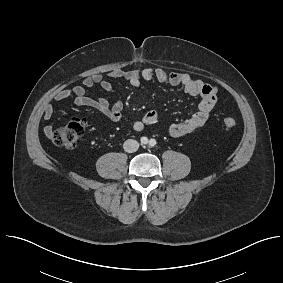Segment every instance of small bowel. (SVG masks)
I'll return each instance as SVG.
<instances>
[{"mask_svg": "<svg viewBox=\"0 0 283 283\" xmlns=\"http://www.w3.org/2000/svg\"><path fill=\"white\" fill-rule=\"evenodd\" d=\"M108 75L113 79L126 80L135 87L140 86L143 81L157 80L171 86H181L188 94L199 97L200 102L190 118L169 126V133L174 137L190 134L201 128L209 119L218 99L216 87L196 79L188 73L167 72L160 67H144L133 70L114 69L111 70ZM96 85L100 86L108 93L114 92V87L109 80L105 79L101 74H95L84 78L82 85L80 86L58 91L55 95V99L57 101H64L74 97V103L77 106L92 107L114 122L121 121L123 117L122 101L117 100L115 102H110L103 98H93L87 95V89ZM54 112L55 108L52 104L45 105L43 108V119L50 120L53 117ZM158 120V112L150 110L147 111L141 119L133 121L131 126L135 131L141 132L146 127L156 124ZM51 131L52 129L50 126L45 128V133L47 135H50Z\"/></svg>", "mask_w": 283, "mask_h": 283, "instance_id": "c3829d8e", "label": "small bowel"}]
</instances>
